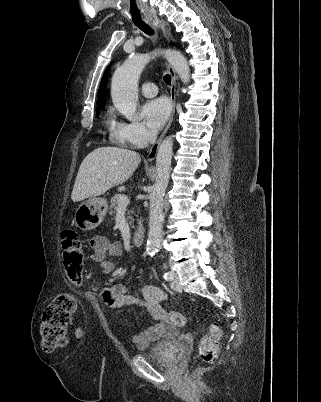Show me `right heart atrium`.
I'll use <instances>...</instances> for the list:
<instances>
[{
  "mask_svg": "<svg viewBox=\"0 0 321 402\" xmlns=\"http://www.w3.org/2000/svg\"><path fill=\"white\" fill-rule=\"evenodd\" d=\"M116 135L125 145L133 148H142L153 139V134L138 121L119 123Z\"/></svg>",
  "mask_w": 321,
  "mask_h": 402,
  "instance_id": "obj_1",
  "label": "right heart atrium"
}]
</instances>
